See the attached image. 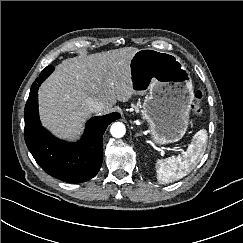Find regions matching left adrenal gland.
<instances>
[{"label": "left adrenal gland", "instance_id": "obj_1", "mask_svg": "<svg viewBox=\"0 0 243 243\" xmlns=\"http://www.w3.org/2000/svg\"><path fill=\"white\" fill-rule=\"evenodd\" d=\"M140 135H141V133H136V134H135V136H140Z\"/></svg>", "mask_w": 243, "mask_h": 243}]
</instances>
